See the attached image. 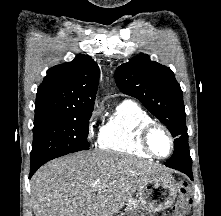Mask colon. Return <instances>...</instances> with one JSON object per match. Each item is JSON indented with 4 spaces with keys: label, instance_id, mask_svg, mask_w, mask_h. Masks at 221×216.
<instances>
[{
    "label": "colon",
    "instance_id": "colon-1",
    "mask_svg": "<svg viewBox=\"0 0 221 216\" xmlns=\"http://www.w3.org/2000/svg\"><path fill=\"white\" fill-rule=\"evenodd\" d=\"M190 197L187 187H182L179 191V198L177 203L173 207V212L170 216H179V213L184 211L186 207L190 204Z\"/></svg>",
    "mask_w": 221,
    "mask_h": 216
}]
</instances>
